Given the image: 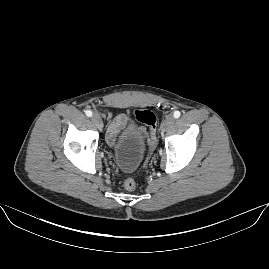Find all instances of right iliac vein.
<instances>
[{
  "mask_svg": "<svg viewBox=\"0 0 269 269\" xmlns=\"http://www.w3.org/2000/svg\"><path fill=\"white\" fill-rule=\"evenodd\" d=\"M91 120H92V123L97 126V128L101 129L103 127L102 120L98 114H94Z\"/></svg>",
  "mask_w": 269,
  "mask_h": 269,
  "instance_id": "right-iliac-vein-1",
  "label": "right iliac vein"
}]
</instances>
